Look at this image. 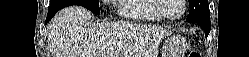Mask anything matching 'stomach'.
<instances>
[{"label":"stomach","instance_id":"1","mask_svg":"<svg viewBox=\"0 0 249 57\" xmlns=\"http://www.w3.org/2000/svg\"><path fill=\"white\" fill-rule=\"evenodd\" d=\"M185 41L181 37H171L165 41V51L162 57H184Z\"/></svg>","mask_w":249,"mask_h":57}]
</instances>
